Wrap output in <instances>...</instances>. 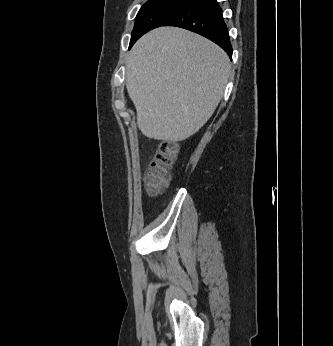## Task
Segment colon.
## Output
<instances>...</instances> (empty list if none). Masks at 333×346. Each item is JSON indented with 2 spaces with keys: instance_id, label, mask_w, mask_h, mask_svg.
Returning a JSON list of instances; mask_svg holds the SVG:
<instances>
[{
  "instance_id": "obj_1",
  "label": "colon",
  "mask_w": 333,
  "mask_h": 346,
  "mask_svg": "<svg viewBox=\"0 0 333 346\" xmlns=\"http://www.w3.org/2000/svg\"><path fill=\"white\" fill-rule=\"evenodd\" d=\"M177 154L178 146L175 143H160L145 176V186L150 196L159 195L167 186Z\"/></svg>"
}]
</instances>
